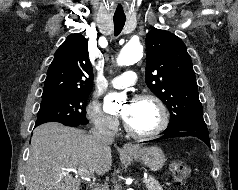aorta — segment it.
<instances>
[{"label":"aorta","mask_w":238,"mask_h":190,"mask_svg":"<svg viewBox=\"0 0 238 190\" xmlns=\"http://www.w3.org/2000/svg\"><path fill=\"white\" fill-rule=\"evenodd\" d=\"M143 56V47L139 42L129 41L121 50L117 63L120 66L132 65ZM126 95L123 93H111L104 98L103 110L106 113H114L119 109V102L124 101Z\"/></svg>","instance_id":"762f6f07"}]
</instances>
